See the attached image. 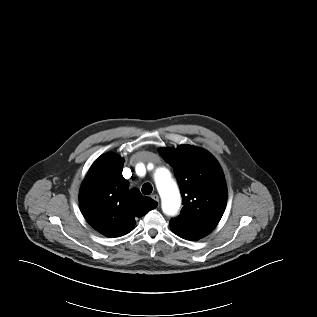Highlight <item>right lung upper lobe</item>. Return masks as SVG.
<instances>
[{
    "mask_svg": "<svg viewBox=\"0 0 317 317\" xmlns=\"http://www.w3.org/2000/svg\"><path fill=\"white\" fill-rule=\"evenodd\" d=\"M124 159L116 154H104L91 166L81 186L79 204L87 222L107 237L129 233L135 219L147 214L157 202L129 189L122 176Z\"/></svg>",
    "mask_w": 317,
    "mask_h": 317,
    "instance_id": "1",
    "label": "right lung upper lobe"
}]
</instances>
